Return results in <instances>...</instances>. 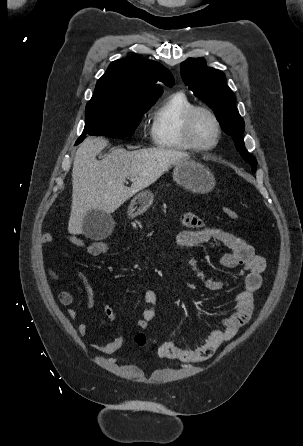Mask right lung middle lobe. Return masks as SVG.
Returning <instances> with one entry per match:
<instances>
[{"label": "right lung middle lobe", "mask_w": 303, "mask_h": 446, "mask_svg": "<svg viewBox=\"0 0 303 446\" xmlns=\"http://www.w3.org/2000/svg\"><path fill=\"white\" fill-rule=\"evenodd\" d=\"M150 107H86L84 131L76 145L86 135H106L112 138L131 136L141 122V115Z\"/></svg>", "instance_id": "obj_1"}]
</instances>
